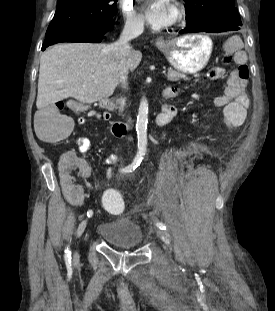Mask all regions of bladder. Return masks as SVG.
<instances>
[{
    "label": "bladder",
    "instance_id": "bladder-1",
    "mask_svg": "<svg viewBox=\"0 0 275 311\" xmlns=\"http://www.w3.org/2000/svg\"><path fill=\"white\" fill-rule=\"evenodd\" d=\"M97 233L108 244L118 249H133L143 242L141 226L129 215L101 222Z\"/></svg>",
    "mask_w": 275,
    "mask_h": 311
}]
</instances>
